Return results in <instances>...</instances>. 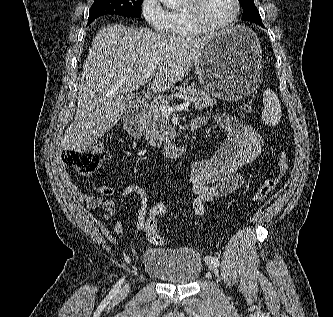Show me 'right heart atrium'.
<instances>
[{
  "instance_id": "right-heart-atrium-1",
  "label": "right heart atrium",
  "mask_w": 333,
  "mask_h": 317,
  "mask_svg": "<svg viewBox=\"0 0 333 317\" xmlns=\"http://www.w3.org/2000/svg\"><path fill=\"white\" fill-rule=\"evenodd\" d=\"M140 11L147 24L157 32H168L170 28L169 12L159 0H141Z\"/></svg>"
}]
</instances>
